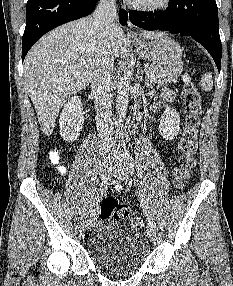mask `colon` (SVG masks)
<instances>
[{
  "instance_id": "5ec220e1",
  "label": "colon",
  "mask_w": 233,
  "mask_h": 286,
  "mask_svg": "<svg viewBox=\"0 0 233 286\" xmlns=\"http://www.w3.org/2000/svg\"><path fill=\"white\" fill-rule=\"evenodd\" d=\"M183 102L186 110L185 126L178 145V163L174 169V186L177 190L184 188L195 165L197 136L202 113L200 93L189 76L184 77ZM51 158L54 162H58V153L52 152ZM101 217L104 219L126 220L134 229L144 227L143 220L140 217L132 216L127 206L120 204L113 198H106L102 201Z\"/></svg>"
}]
</instances>
